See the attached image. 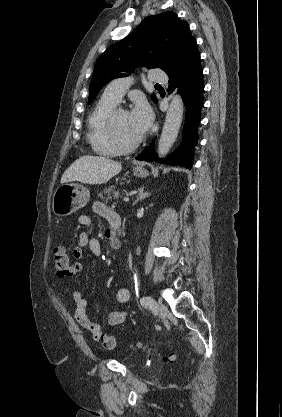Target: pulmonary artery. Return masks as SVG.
Here are the masks:
<instances>
[{
    "mask_svg": "<svg viewBox=\"0 0 282 417\" xmlns=\"http://www.w3.org/2000/svg\"><path fill=\"white\" fill-rule=\"evenodd\" d=\"M152 71L157 73L159 68L154 66ZM148 81L150 83H168L169 76L168 74H150L148 76ZM131 82L132 80L129 77L116 79L108 84L104 90L103 96L118 103L122 99L124 92L128 89Z\"/></svg>",
    "mask_w": 282,
    "mask_h": 417,
    "instance_id": "1",
    "label": "pulmonary artery"
}]
</instances>
